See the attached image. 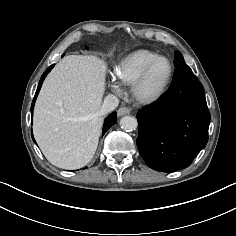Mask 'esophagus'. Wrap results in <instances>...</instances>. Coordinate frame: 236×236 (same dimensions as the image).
<instances>
[{
    "label": "esophagus",
    "mask_w": 236,
    "mask_h": 236,
    "mask_svg": "<svg viewBox=\"0 0 236 236\" xmlns=\"http://www.w3.org/2000/svg\"><path fill=\"white\" fill-rule=\"evenodd\" d=\"M130 113V109L127 108V107H121L117 110V115L120 117V116H123L125 114H129Z\"/></svg>",
    "instance_id": "esophagus-1"
}]
</instances>
